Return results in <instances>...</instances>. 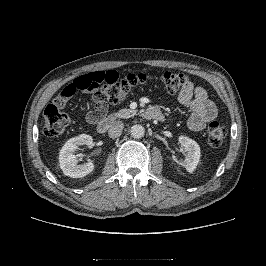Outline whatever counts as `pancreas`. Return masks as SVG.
I'll return each mask as SVG.
<instances>
[{
    "label": "pancreas",
    "instance_id": "1",
    "mask_svg": "<svg viewBox=\"0 0 266 266\" xmlns=\"http://www.w3.org/2000/svg\"><path fill=\"white\" fill-rule=\"evenodd\" d=\"M137 110H131V109H121L118 112L114 113L112 116L110 117H116V118H127L133 115H136Z\"/></svg>",
    "mask_w": 266,
    "mask_h": 266
}]
</instances>
